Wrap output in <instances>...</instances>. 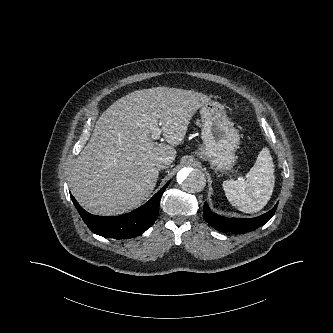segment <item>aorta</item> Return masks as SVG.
I'll return each instance as SVG.
<instances>
[{
	"mask_svg": "<svg viewBox=\"0 0 333 333\" xmlns=\"http://www.w3.org/2000/svg\"><path fill=\"white\" fill-rule=\"evenodd\" d=\"M180 187L188 193H198L206 185L204 173L199 169L183 168L177 173Z\"/></svg>",
	"mask_w": 333,
	"mask_h": 333,
	"instance_id": "1",
	"label": "aorta"
}]
</instances>
